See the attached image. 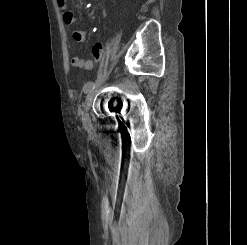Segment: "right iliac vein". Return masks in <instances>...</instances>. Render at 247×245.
Masks as SVG:
<instances>
[{"mask_svg": "<svg viewBox=\"0 0 247 245\" xmlns=\"http://www.w3.org/2000/svg\"><path fill=\"white\" fill-rule=\"evenodd\" d=\"M99 85H94L93 89L87 94L84 109L82 112V122L85 126H90V118L88 114L89 107L98 92Z\"/></svg>", "mask_w": 247, "mask_h": 245, "instance_id": "1", "label": "right iliac vein"}]
</instances>
